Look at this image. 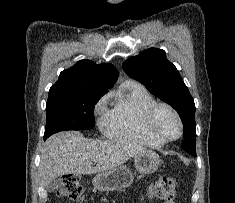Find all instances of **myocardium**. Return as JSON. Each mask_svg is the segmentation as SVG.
I'll list each match as a JSON object with an SVG mask.
<instances>
[{"label": "myocardium", "instance_id": "obj_1", "mask_svg": "<svg viewBox=\"0 0 235 203\" xmlns=\"http://www.w3.org/2000/svg\"><path fill=\"white\" fill-rule=\"evenodd\" d=\"M161 109H167L168 111H170L174 115L175 119L177 120V123L179 126V132H178L177 136L172 137V138L164 137V136L158 134L157 132H155V130L153 129L154 119H155L157 113ZM144 128L149 136H151L153 139L157 140L158 142L164 144V143H169V142H173V141L178 140L183 134L184 126H183V121L181 119L180 114L173 106H171L170 104H167V103H158L157 102L156 104H154L153 106H151L147 110L145 117H144Z\"/></svg>", "mask_w": 235, "mask_h": 203}]
</instances>
